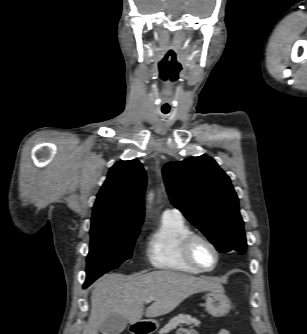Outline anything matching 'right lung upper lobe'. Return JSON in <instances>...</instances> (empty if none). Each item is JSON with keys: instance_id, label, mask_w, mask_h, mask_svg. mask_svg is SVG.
<instances>
[{"instance_id": "cb5924a9", "label": "right lung upper lobe", "mask_w": 307, "mask_h": 334, "mask_svg": "<svg viewBox=\"0 0 307 334\" xmlns=\"http://www.w3.org/2000/svg\"><path fill=\"white\" fill-rule=\"evenodd\" d=\"M146 182L145 170L138 160L116 162L97 195L91 227L142 224Z\"/></svg>"}]
</instances>
